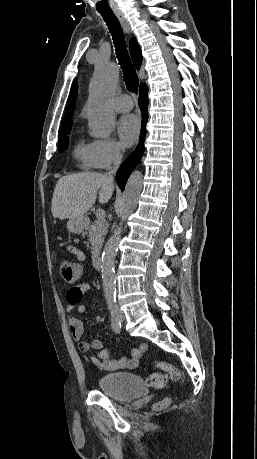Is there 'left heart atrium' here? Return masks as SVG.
Wrapping results in <instances>:
<instances>
[{
  "label": "left heart atrium",
  "mask_w": 257,
  "mask_h": 459,
  "mask_svg": "<svg viewBox=\"0 0 257 459\" xmlns=\"http://www.w3.org/2000/svg\"><path fill=\"white\" fill-rule=\"evenodd\" d=\"M140 132V120L137 116L124 115L118 122V134L125 146H131L138 138Z\"/></svg>",
  "instance_id": "obj_1"
}]
</instances>
